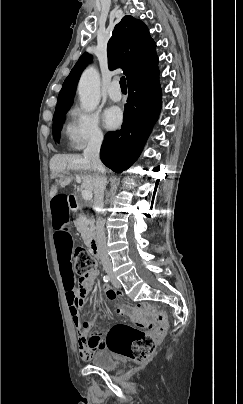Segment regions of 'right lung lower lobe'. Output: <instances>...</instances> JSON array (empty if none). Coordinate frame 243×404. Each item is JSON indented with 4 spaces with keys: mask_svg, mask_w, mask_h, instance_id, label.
Masks as SVG:
<instances>
[{
    "mask_svg": "<svg viewBox=\"0 0 243 404\" xmlns=\"http://www.w3.org/2000/svg\"><path fill=\"white\" fill-rule=\"evenodd\" d=\"M158 76L156 67L128 84L122 128L108 132L104 137L100 158L117 173L129 168L138 158L160 113L162 100Z\"/></svg>",
    "mask_w": 243,
    "mask_h": 404,
    "instance_id": "98d812e1",
    "label": "right lung lower lobe"
}]
</instances>
